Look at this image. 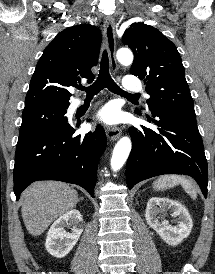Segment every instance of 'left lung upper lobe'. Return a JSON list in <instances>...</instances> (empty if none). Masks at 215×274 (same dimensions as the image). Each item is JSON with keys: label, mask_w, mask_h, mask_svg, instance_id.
Here are the masks:
<instances>
[{"label": "left lung upper lobe", "mask_w": 215, "mask_h": 274, "mask_svg": "<svg viewBox=\"0 0 215 274\" xmlns=\"http://www.w3.org/2000/svg\"><path fill=\"white\" fill-rule=\"evenodd\" d=\"M122 42L134 53L132 75L144 79L150 110L168 108L195 115L193 99L176 46L158 29L143 23L128 28Z\"/></svg>", "instance_id": "5c2ea615"}]
</instances>
